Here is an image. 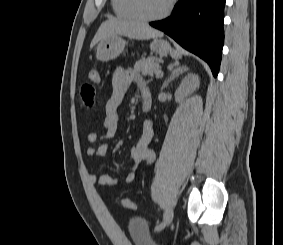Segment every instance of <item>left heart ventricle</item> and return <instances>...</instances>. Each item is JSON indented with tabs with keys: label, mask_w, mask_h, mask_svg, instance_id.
Listing matches in <instances>:
<instances>
[{
	"label": "left heart ventricle",
	"mask_w": 283,
	"mask_h": 245,
	"mask_svg": "<svg viewBox=\"0 0 283 245\" xmlns=\"http://www.w3.org/2000/svg\"><path fill=\"white\" fill-rule=\"evenodd\" d=\"M169 0H139V7L145 15L153 16L161 13Z\"/></svg>",
	"instance_id": "left-heart-ventricle-1"
}]
</instances>
